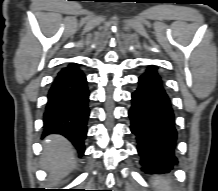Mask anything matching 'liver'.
Segmentation results:
<instances>
[{"label":"liver","mask_w":218,"mask_h":191,"mask_svg":"<svg viewBox=\"0 0 218 191\" xmlns=\"http://www.w3.org/2000/svg\"><path fill=\"white\" fill-rule=\"evenodd\" d=\"M41 164L49 172L51 182H59L75 167L76 157L73 146L62 136H48L44 141Z\"/></svg>","instance_id":"1"}]
</instances>
